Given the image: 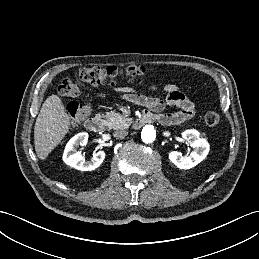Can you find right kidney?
Here are the masks:
<instances>
[{
    "label": "right kidney",
    "instance_id": "obj_1",
    "mask_svg": "<svg viewBox=\"0 0 259 259\" xmlns=\"http://www.w3.org/2000/svg\"><path fill=\"white\" fill-rule=\"evenodd\" d=\"M87 141L88 133L86 132H81L73 136L65 147L63 161L67 165L80 171H92L98 168L105 158L104 151H98L97 153L93 154L91 161H85V158L82 156V154L77 151V148L79 146L86 145Z\"/></svg>",
    "mask_w": 259,
    "mask_h": 259
}]
</instances>
